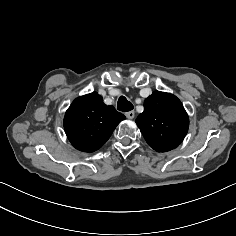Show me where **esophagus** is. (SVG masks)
<instances>
[{
    "instance_id": "esophagus-1",
    "label": "esophagus",
    "mask_w": 236,
    "mask_h": 236,
    "mask_svg": "<svg viewBox=\"0 0 236 236\" xmlns=\"http://www.w3.org/2000/svg\"><path fill=\"white\" fill-rule=\"evenodd\" d=\"M125 116H126L128 119H133L134 116H135V112H134V111L126 112V113H125Z\"/></svg>"
}]
</instances>
